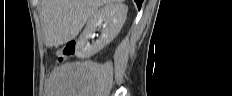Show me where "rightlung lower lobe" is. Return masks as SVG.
<instances>
[{"instance_id":"1","label":"right lung lower lobe","mask_w":232,"mask_h":96,"mask_svg":"<svg viewBox=\"0 0 232 96\" xmlns=\"http://www.w3.org/2000/svg\"><path fill=\"white\" fill-rule=\"evenodd\" d=\"M134 1L136 2L137 6H138V9H140V8H141V5H142L143 0H134Z\"/></svg>"}]
</instances>
